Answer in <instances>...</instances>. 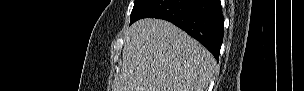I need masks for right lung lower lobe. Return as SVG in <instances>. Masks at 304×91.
I'll return each mask as SVG.
<instances>
[{"label": "right lung lower lobe", "instance_id": "98d812e1", "mask_svg": "<svg viewBox=\"0 0 304 91\" xmlns=\"http://www.w3.org/2000/svg\"><path fill=\"white\" fill-rule=\"evenodd\" d=\"M147 17L172 22L219 60L224 33L220 0H150L133 22Z\"/></svg>", "mask_w": 304, "mask_h": 91}]
</instances>
